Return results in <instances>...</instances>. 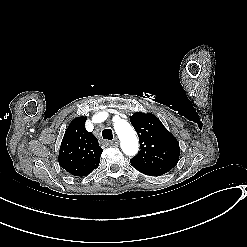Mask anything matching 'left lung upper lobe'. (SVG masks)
<instances>
[{"label": "left lung upper lobe", "instance_id": "left-lung-upper-lobe-1", "mask_svg": "<svg viewBox=\"0 0 247 247\" xmlns=\"http://www.w3.org/2000/svg\"><path fill=\"white\" fill-rule=\"evenodd\" d=\"M136 130L140 151L130 159L136 169L165 174L178 162L180 148L177 139L164 127L153 114L135 113L130 117Z\"/></svg>", "mask_w": 247, "mask_h": 247}]
</instances>
